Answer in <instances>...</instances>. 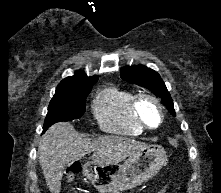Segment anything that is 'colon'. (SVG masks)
<instances>
[{
	"mask_svg": "<svg viewBox=\"0 0 221 193\" xmlns=\"http://www.w3.org/2000/svg\"><path fill=\"white\" fill-rule=\"evenodd\" d=\"M79 169H80V166L78 164L77 165H73V166L70 167V172L72 174H74V173L78 172ZM162 190H164V193H165L166 188H163ZM161 191H159L158 193H160Z\"/></svg>",
	"mask_w": 221,
	"mask_h": 193,
	"instance_id": "colon-1",
	"label": "colon"
}]
</instances>
